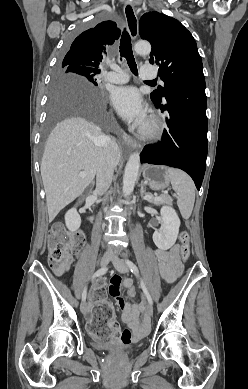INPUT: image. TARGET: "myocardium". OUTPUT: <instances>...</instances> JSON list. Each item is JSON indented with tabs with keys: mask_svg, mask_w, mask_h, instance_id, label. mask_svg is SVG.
Returning a JSON list of instances; mask_svg holds the SVG:
<instances>
[{
	"mask_svg": "<svg viewBox=\"0 0 248 389\" xmlns=\"http://www.w3.org/2000/svg\"><path fill=\"white\" fill-rule=\"evenodd\" d=\"M162 124L156 118H150L140 131V136L144 139H158L162 135Z\"/></svg>",
	"mask_w": 248,
	"mask_h": 389,
	"instance_id": "1",
	"label": "myocardium"
}]
</instances>
